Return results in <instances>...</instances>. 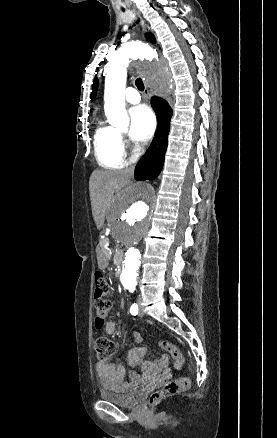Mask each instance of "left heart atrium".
Segmentation results:
<instances>
[{
	"instance_id": "1",
	"label": "left heart atrium",
	"mask_w": 277,
	"mask_h": 438,
	"mask_svg": "<svg viewBox=\"0 0 277 438\" xmlns=\"http://www.w3.org/2000/svg\"><path fill=\"white\" fill-rule=\"evenodd\" d=\"M133 121L132 136L139 142L148 141L155 129V117L152 110L147 106L135 107L130 111Z\"/></svg>"
}]
</instances>
